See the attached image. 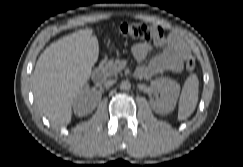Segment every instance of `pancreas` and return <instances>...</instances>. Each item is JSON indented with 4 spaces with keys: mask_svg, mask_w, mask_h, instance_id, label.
I'll use <instances>...</instances> for the list:
<instances>
[{
    "mask_svg": "<svg viewBox=\"0 0 243 167\" xmlns=\"http://www.w3.org/2000/svg\"><path fill=\"white\" fill-rule=\"evenodd\" d=\"M119 60H109L103 61L101 63V68L105 76H117L118 73H121L122 67L119 65Z\"/></svg>",
    "mask_w": 243,
    "mask_h": 167,
    "instance_id": "1",
    "label": "pancreas"
}]
</instances>
